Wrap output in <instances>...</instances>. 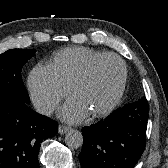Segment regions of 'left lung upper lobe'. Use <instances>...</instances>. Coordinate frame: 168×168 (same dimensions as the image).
<instances>
[{
	"label": "left lung upper lobe",
	"instance_id": "obj_1",
	"mask_svg": "<svg viewBox=\"0 0 168 168\" xmlns=\"http://www.w3.org/2000/svg\"><path fill=\"white\" fill-rule=\"evenodd\" d=\"M142 101H146V102H147V100H146L145 97H143V98H141V99L138 100V102H142ZM136 102H137V101H136Z\"/></svg>",
	"mask_w": 168,
	"mask_h": 168
}]
</instances>
